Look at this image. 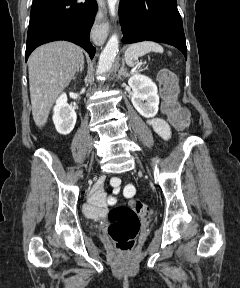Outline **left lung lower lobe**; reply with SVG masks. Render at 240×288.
I'll return each mask as SVG.
<instances>
[{
	"mask_svg": "<svg viewBox=\"0 0 240 288\" xmlns=\"http://www.w3.org/2000/svg\"><path fill=\"white\" fill-rule=\"evenodd\" d=\"M119 18L124 43L157 41L177 47L187 58L176 0H121Z\"/></svg>",
	"mask_w": 240,
	"mask_h": 288,
	"instance_id": "0a47b994",
	"label": "left lung lower lobe"
}]
</instances>
